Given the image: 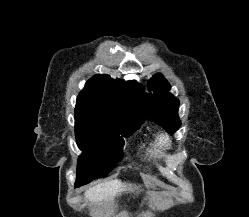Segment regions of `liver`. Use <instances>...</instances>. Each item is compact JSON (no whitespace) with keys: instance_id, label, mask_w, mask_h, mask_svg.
I'll list each match as a JSON object with an SVG mask.
<instances>
[{"instance_id":"liver-1","label":"liver","mask_w":249,"mask_h":217,"mask_svg":"<svg viewBox=\"0 0 249 217\" xmlns=\"http://www.w3.org/2000/svg\"><path fill=\"white\" fill-rule=\"evenodd\" d=\"M138 189L136 185L123 183L120 180H110L97 184L85 192V198L97 203L107 199H113L116 195L126 191Z\"/></svg>"}]
</instances>
